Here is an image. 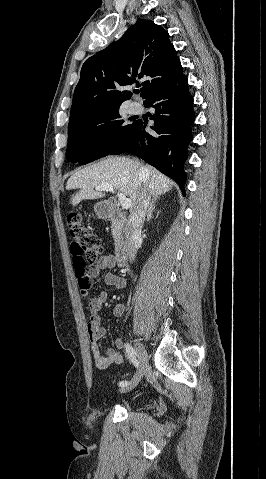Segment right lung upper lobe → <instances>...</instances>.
Wrapping results in <instances>:
<instances>
[{
  "instance_id": "right-lung-upper-lobe-1",
  "label": "right lung upper lobe",
  "mask_w": 266,
  "mask_h": 479,
  "mask_svg": "<svg viewBox=\"0 0 266 479\" xmlns=\"http://www.w3.org/2000/svg\"><path fill=\"white\" fill-rule=\"evenodd\" d=\"M183 74L169 34L151 20L139 19L116 42L89 57L83 64L69 121L119 108L132 96L118 91L137 79L143 99Z\"/></svg>"
}]
</instances>
